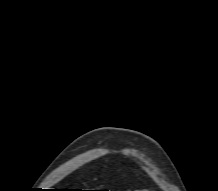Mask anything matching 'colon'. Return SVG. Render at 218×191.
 <instances>
[{
	"label": "colon",
	"instance_id": "5ec220e1",
	"mask_svg": "<svg viewBox=\"0 0 218 191\" xmlns=\"http://www.w3.org/2000/svg\"><path fill=\"white\" fill-rule=\"evenodd\" d=\"M134 191H149V190H147V189H144V190H134Z\"/></svg>",
	"mask_w": 218,
	"mask_h": 191
}]
</instances>
